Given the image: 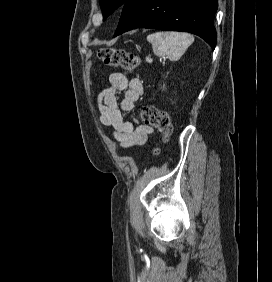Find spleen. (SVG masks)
<instances>
[{"mask_svg":"<svg viewBox=\"0 0 272 282\" xmlns=\"http://www.w3.org/2000/svg\"><path fill=\"white\" fill-rule=\"evenodd\" d=\"M156 56H168L172 61L178 60L194 42V37L188 33L156 32L147 36Z\"/></svg>","mask_w":272,"mask_h":282,"instance_id":"1","label":"spleen"}]
</instances>
